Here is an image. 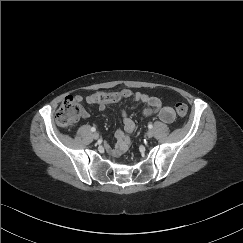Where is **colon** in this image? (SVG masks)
<instances>
[{"label": "colon", "instance_id": "obj_1", "mask_svg": "<svg viewBox=\"0 0 243 243\" xmlns=\"http://www.w3.org/2000/svg\"><path fill=\"white\" fill-rule=\"evenodd\" d=\"M105 102H115L124 99L127 93L124 92H109L96 94ZM176 112L179 116L184 117L188 112V107L185 103L176 104ZM80 117V100L73 96L66 97L56 112V122L62 128H68L78 121Z\"/></svg>", "mask_w": 243, "mask_h": 243}]
</instances>
